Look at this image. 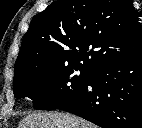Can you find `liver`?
I'll return each mask as SVG.
<instances>
[{
    "mask_svg": "<svg viewBox=\"0 0 142 128\" xmlns=\"http://www.w3.org/2000/svg\"><path fill=\"white\" fill-rule=\"evenodd\" d=\"M18 128H96L81 117L62 112L32 113L27 115Z\"/></svg>",
    "mask_w": 142,
    "mask_h": 128,
    "instance_id": "obj_1",
    "label": "liver"
}]
</instances>
